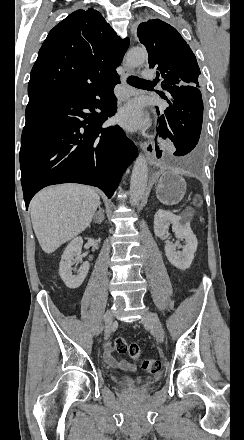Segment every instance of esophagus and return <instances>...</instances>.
I'll return each instance as SVG.
<instances>
[{
    "instance_id": "obj_1",
    "label": "esophagus",
    "mask_w": 244,
    "mask_h": 440,
    "mask_svg": "<svg viewBox=\"0 0 244 440\" xmlns=\"http://www.w3.org/2000/svg\"><path fill=\"white\" fill-rule=\"evenodd\" d=\"M126 60H127V56H125L123 60V74L121 76V79L124 86H126V88L128 89L129 87L126 85V79L127 77H130V75L133 74V70H131L128 67ZM127 96L129 97L131 96V94H128ZM140 146L146 154V158L148 160L149 165H153L156 162L154 142L152 140H147L145 142H142Z\"/></svg>"
}]
</instances>
